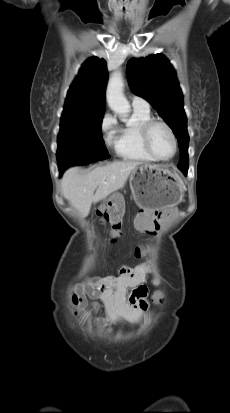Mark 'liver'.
Segmentation results:
<instances>
[{"label":"liver","mask_w":230,"mask_h":413,"mask_svg":"<svg viewBox=\"0 0 230 413\" xmlns=\"http://www.w3.org/2000/svg\"><path fill=\"white\" fill-rule=\"evenodd\" d=\"M140 165V162L129 160L116 161L88 173H82L77 167L70 168L61 180L63 196L78 210L82 218L87 217L92 203H97L123 188L129 175Z\"/></svg>","instance_id":"obj_1"}]
</instances>
